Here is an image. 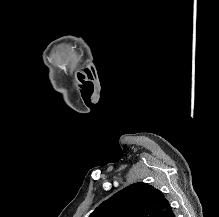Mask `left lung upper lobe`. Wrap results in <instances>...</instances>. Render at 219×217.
Returning a JSON list of instances; mask_svg holds the SVG:
<instances>
[{"mask_svg":"<svg viewBox=\"0 0 219 217\" xmlns=\"http://www.w3.org/2000/svg\"><path fill=\"white\" fill-rule=\"evenodd\" d=\"M89 217H175L163 193L147 183L132 184L100 204Z\"/></svg>","mask_w":219,"mask_h":217,"instance_id":"left-lung-upper-lobe-1","label":"left lung upper lobe"}]
</instances>
